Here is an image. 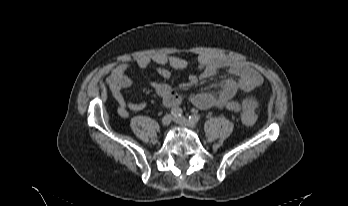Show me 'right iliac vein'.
I'll return each instance as SVG.
<instances>
[{
	"label": "right iliac vein",
	"instance_id": "right-iliac-vein-1",
	"mask_svg": "<svg viewBox=\"0 0 348 206\" xmlns=\"http://www.w3.org/2000/svg\"><path fill=\"white\" fill-rule=\"evenodd\" d=\"M171 121H172V116L170 114H167L162 118V124L164 126H168L171 123Z\"/></svg>",
	"mask_w": 348,
	"mask_h": 206
}]
</instances>
